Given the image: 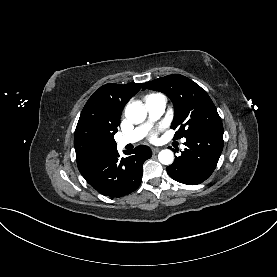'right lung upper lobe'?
Here are the masks:
<instances>
[{"mask_svg":"<svg viewBox=\"0 0 277 277\" xmlns=\"http://www.w3.org/2000/svg\"><path fill=\"white\" fill-rule=\"evenodd\" d=\"M143 84H106L85 104L75 130L74 147L80 173H84L117 150L114 134L124 105Z\"/></svg>","mask_w":277,"mask_h":277,"instance_id":"right-lung-upper-lobe-1","label":"right lung upper lobe"}]
</instances>
